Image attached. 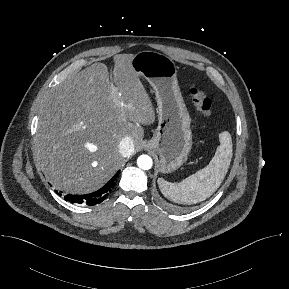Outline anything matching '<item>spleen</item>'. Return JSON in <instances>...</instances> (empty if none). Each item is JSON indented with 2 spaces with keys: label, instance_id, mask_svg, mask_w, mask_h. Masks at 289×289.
Listing matches in <instances>:
<instances>
[{
  "label": "spleen",
  "instance_id": "obj_1",
  "mask_svg": "<svg viewBox=\"0 0 289 289\" xmlns=\"http://www.w3.org/2000/svg\"><path fill=\"white\" fill-rule=\"evenodd\" d=\"M220 145L210 163L179 183L158 179L162 194L176 203L196 204L206 200L224 180L232 158V139L229 132L219 136Z\"/></svg>",
  "mask_w": 289,
  "mask_h": 289
}]
</instances>
